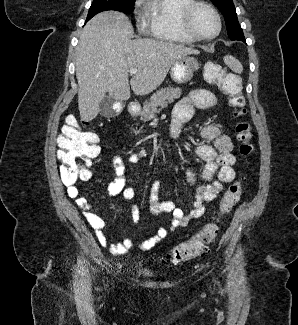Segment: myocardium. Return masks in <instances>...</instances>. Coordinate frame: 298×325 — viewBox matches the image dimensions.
Wrapping results in <instances>:
<instances>
[{
    "label": "myocardium",
    "mask_w": 298,
    "mask_h": 325,
    "mask_svg": "<svg viewBox=\"0 0 298 325\" xmlns=\"http://www.w3.org/2000/svg\"><path fill=\"white\" fill-rule=\"evenodd\" d=\"M197 8L206 9L211 14V16L213 17L215 24H216L215 33L210 38H208L206 40L201 39L196 34V32L192 29V27L190 25L191 16ZM177 26H178V29L183 34H185L189 38L193 39L195 42L201 43V44H207V43L214 41L219 36L220 31H221L219 17L216 14V12L212 9V7L210 5H208L204 2H199V1H191L180 8L178 18H177Z\"/></svg>",
    "instance_id": "f54148a6"
}]
</instances>
